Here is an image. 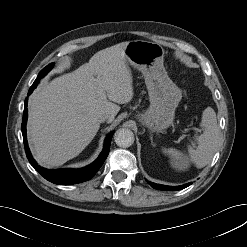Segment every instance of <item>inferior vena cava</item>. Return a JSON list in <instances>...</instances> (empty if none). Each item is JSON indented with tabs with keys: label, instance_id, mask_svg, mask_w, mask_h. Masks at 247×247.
Instances as JSON below:
<instances>
[{
	"label": "inferior vena cava",
	"instance_id": "inferior-vena-cava-1",
	"mask_svg": "<svg viewBox=\"0 0 247 247\" xmlns=\"http://www.w3.org/2000/svg\"><path fill=\"white\" fill-rule=\"evenodd\" d=\"M110 119H111V116L109 114H103V115H100L99 117L100 122L109 121Z\"/></svg>",
	"mask_w": 247,
	"mask_h": 247
}]
</instances>
